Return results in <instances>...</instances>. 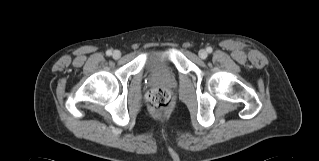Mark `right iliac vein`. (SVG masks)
<instances>
[{
	"instance_id": "63e3f726",
	"label": "right iliac vein",
	"mask_w": 319,
	"mask_h": 161,
	"mask_svg": "<svg viewBox=\"0 0 319 161\" xmlns=\"http://www.w3.org/2000/svg\"><path fill=\"white\" fill-rule=\"evenodd\" d=\"M120 56H121V52H120L119 50H115V51L112 53V57H113L114 59H118V58H120Z\"/></svg>"
}]
</instances>
